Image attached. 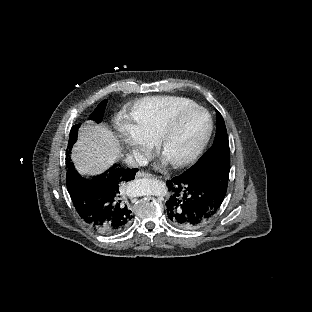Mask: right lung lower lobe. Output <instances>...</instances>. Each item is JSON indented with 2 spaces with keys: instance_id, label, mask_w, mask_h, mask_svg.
<instances>
[{
  "instance_id": "obj_1",
  "label": "right lung lower lobe",
  "mask_w": 312,
  "mask_h": 312,
  "mask_svg": "<svg viewBox=\"0 0 312 312\" xmlns=\"http://www.w3.org/2000/svg\"><path fill=\"white\" fill-rule=\"evenodd\" d=\"M67 189L81 219L93 230L113 235L127 228L133 218L126 189L138 169L114 165L94 178L80 176L66 161Z\"/></svg>"
}]
</instances>
